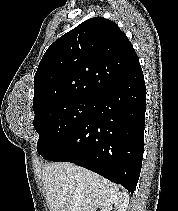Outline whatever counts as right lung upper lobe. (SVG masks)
I'll use <instances>...</instances> for the list:
<instances>
[{
	"label": "right lung upper lobe",
	"mask_w": 178,
	"mask_h": 211,
	"mask_svg": "<svg viewBox=\"0 0 178 211\" xmlns=\"http://www.w3.org/2000/svg\"><path fill=\"white\" fill-rule=\"evenodd\" d=\"M140 70L132 44L116 23L88 19L45 52L34 76V113L58 101L96 99Z\"/></svg>",
	"instance_id": "right-lung-upper-lobe-1"
}]
</instances>
